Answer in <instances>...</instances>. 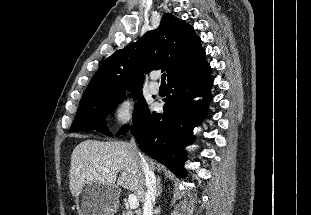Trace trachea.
Segmentation results:
<instances>
[{"label": "trachea", "instance_id": "3493384b", "mask_svg": "<svg viewBox=\"0 0 311 215\" xmlns=\"http://www.w3.org/2000/svg\"><path fill=\"white\" fill-rule=\"evenodd\" d=\"M165 80H166V74L164 73V74L161 75V84H162V85H163V84H166V83H165Z\"/></svg>", "mask_w": 311, "mask_h": 215}]
</instances>
